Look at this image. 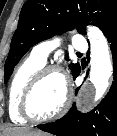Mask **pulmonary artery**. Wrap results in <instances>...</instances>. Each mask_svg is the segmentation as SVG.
Instances as JSON below:
<instances>
[{"label": "pulmonary artery", "mask_w": 117, "mask_h": 136, "mask_svg": "<svg viewBox=\"0 0 117 136\" xmlns=\"http://www.w3.org/2000/svg\"><path fill=\"white\" fill-rule=\"evenodd\" d=\"M72 45L76 50L86 51L87 43L84 37L80 35H73L72 37ZM61 42V38L54 37L48 40H44L37 45H35L32 49L31 54L42 62H46L50 53L59 46Z\"/></svg>", "instance_id": "obj_1"}]
</instances>
